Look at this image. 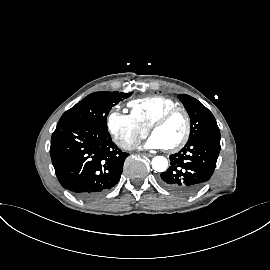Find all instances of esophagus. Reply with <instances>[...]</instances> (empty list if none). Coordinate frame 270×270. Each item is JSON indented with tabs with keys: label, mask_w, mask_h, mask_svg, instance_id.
<instances>
[{
	"label": "esophagus",
	"mask_w": 270,
	"mask_h": 270,
	"mask_svg": "<svg viewBox=\"0 0 270 270\" xmlns=\"http://www.w3.org/2000/svg\"><path fill=\"white\" fill-rule=\"evenodd\" d=\"M144 155H145L146 157H153V156H154V155L151 154V153H144Z\"/></svg>",
	"instance_id": "obj_1"
}]
</instances>
